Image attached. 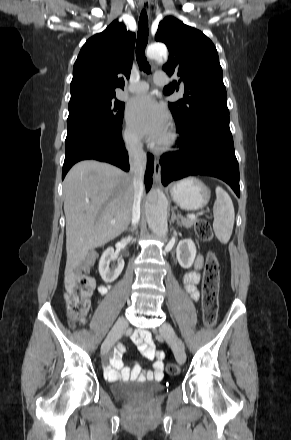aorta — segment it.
Listing matches in <instances>:
<instances>
[{
	"label": "aorta",
	"mask_w": 291,
	"mask_h": 440,
	"mask_svg": "<svg viewBox=\"0 0 291 440\" xmlns=\"http://www.w3.org/2000/svg\"><path fill=\"white\" fill-rule=\"evenodd\" d=\"M147 57L166 60L168 58L166 46L163 44L150 45L147 49ZM167 208V199L159 188L150 194L145 209L146 218L150 230L160 237H165L168 233Z\"/></svg>",
	"instance_id": "762f6f07"
}]
</instances>
